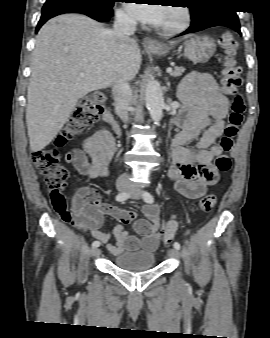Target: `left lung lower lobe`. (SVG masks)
<instances>
[{"mask_svg": "<svg viewBox=\"0 0 270 338\" xmlns=\"http://www.w3.org/2000/svg\"><path fill=\"white\" fill-rule=\"evenodd\" d=\"M215 26H226L232 28L241 35L238 16L236 11L231 9L212 15L196 26H190L189 29L182 34L197 32Z\"/></svg>", "mask_w": 270, "mask_h": 338, "instance_id": "left-lung-lower-lobe-1", "label": "left lung lower lobe"}]
</instances>
